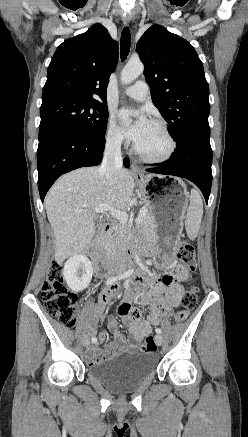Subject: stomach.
Masks as SVG:
<instances>
[{
	"label": "stomach",
	"mask_w": 248,
	"mask_h": 437,
	"mask_svg": "<svg viewBox=\"0 0 248 437\" xmlns=\"http://www.w3.org/2000/svg\"><path fill=\"white\" fill-rule=\"evenodd\" d=\"M136 180L153 217L160 253L163 257H170L181 234L188 206L187 189L180 180L170 176L149 174Z\"/></svg>",
	"instance_id": "0dacf381"
}]
</instances>
